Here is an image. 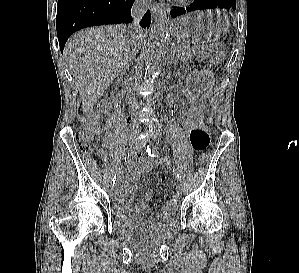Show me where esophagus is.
<instances>
[{
    "instance_id": "34e87169",
    "label": "esophagus",
    "mask_w": 299,
    "mask_h": 273,
    "mask_svg": "<svg viewBox=\"0 0 299 273\" xmlns=\"http://www.w3.org/2000/svg\"><path fill=\"white\" fill-rule=\"evenodd\" d=\"M162 12H163V6L162 5H160V4H153V5H151V13H152V16L153 17H157V16H159V14H162Z\"/></svg>"
}]
</instances>
